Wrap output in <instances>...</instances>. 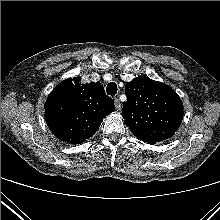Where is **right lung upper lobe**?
Here are the masks:
<instances>
[{
    "mask_svg": "<svg viewBox=\"0 0 220 220\" xmlns=\"http://www.w3.org/2000/svg\"><path fill=\"white\" fill-rule=\"evenodd\" d=\"M79 77L59 83L45 103V119L52 133L69 144L95 134L103 118L115 110L100 83L81 84Z\"/></svg>",
    "mask_w": 220,
    "mask_h": 220,
    "instance_id": "right-lung-upper-lobe-1",
    "label": "right lung upper lobe"
}]
</instances>
